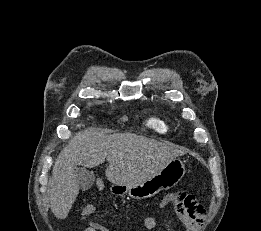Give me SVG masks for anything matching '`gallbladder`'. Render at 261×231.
<instances>
[{"label":"gallbladder","instance_id":"bac80fb5","mask_svg":"<svg viewBox=\"0 0 261 231\" xmlns=\"http://www.w3.org/2000/svg\"><path fill=\"white\" fill-rule=\"evenodd\" d=\"M76 179L79 182L81 190L86 191L93 185L95 176L93 172L80 167L76 170Z\"/></svg>","mask_w":261,"mask_h":231}]
</instances>
